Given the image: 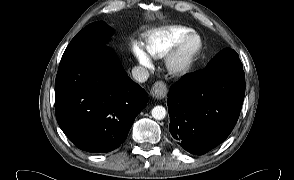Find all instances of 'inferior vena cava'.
<instances>
[{"mask_svg": "<svg viewBox=\"0 0 294 180\" xmlns=\"http://www.w3.org/2000/svg\"><path fill=\"white\" fill-rule=\"evenodd\" d=\"M132 76L137 82L143 83L149 78V72L144 67L135 66L132 69Z\"/></svg>", "mask_w": 294, "mask_h": 180, "instance_id": "602c4592", "label": "inferior vena cava"}]
</instances>
